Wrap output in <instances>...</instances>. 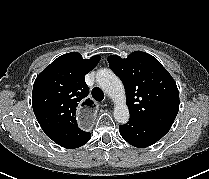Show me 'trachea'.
<instances>
[{
	"instance_id": "trachea-1",
	"label": "trachea",
	"mask_w": 209,
	"mask_h": 179,
	"mask_svg": "<svg viewBox=\"0 0 209 179\" xmlns=\"http://www.w3.org/2000/svg\"><path fill=\"white\" fill-rule=\"evenodd\" d=\"M92 96L97 101H102L104 99V93L98 87L93 88V90H92Z\"/></svg>"
}]
</instances>
